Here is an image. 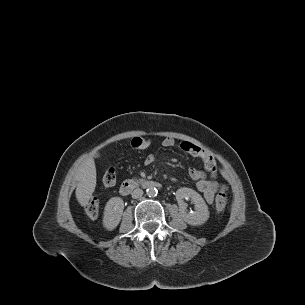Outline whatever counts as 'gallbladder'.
<instances>
[{
    "label": "gallbladder",
    "mask_w": 305,
    "mask_h": 305,
    "mask_svg": "<svg viewBox=\"0 0 305 305\" xmlns=\"http://www.w3.org/2000/svg\"><path fill=\"white\" fill-rule=\"evenodd\" d=\"M99 156H100V155L97 153V154H96V157H99Z\"/></svg>",
    "instance_id": "bac80fb5"
}]
</instances>
